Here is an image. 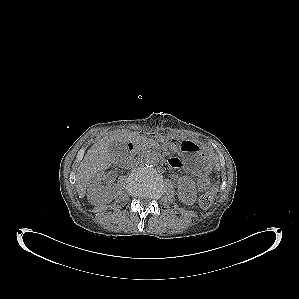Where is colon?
<instances>
[{"label": "colon", "mask_w": 299, "mask_h": 299, "mask_svg": "<svg viewBox=\"0 0 299 299\" xmlns=\"http://www.w3.org/2000/svg\"><path fill=\"white\" fill-rule=\"evenodd\" d=\"M198 186L205 192L199 197V204L202 208H209L214 201V191L210 189V180L202 176L198 179Z\"/></svg>", "instance_id": "obj_1"}]
</instances>
